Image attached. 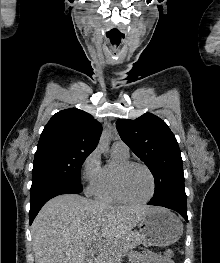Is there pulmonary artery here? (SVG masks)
Returning a JSON list of instances; mask_svg holds the SVG:
<instances>
[{
    "label": "pulmonary artery",
    "instance_id": "e3ab8cb5",
    "mask_svg": "<svg viewBox=\"0 0 220 263\" xmlns=\"http://www.w3.org/2000/svg\"><path fill=\"white\" fill-rule=\"evenodd\" d=\"M112 149L118 151L123 155H129V148L123 141H116L112 145Z\"/></svg>",
    "mask_w": 220,
    "mask_h": 263
}]
</instances>
